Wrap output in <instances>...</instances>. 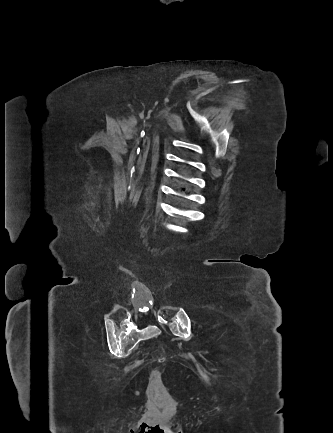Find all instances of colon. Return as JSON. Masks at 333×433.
<instances>
[{"instance_id": "colon-1", "label": "colon", "mask_w": 333, "mask_h": 433, "mask_svg": "<svg viewBox=\"0 0 333 433\" xmlns=\"http://www.w3.org/2000/svg\"><path fill=\"white\" fill-rule=\"evenodd\" d=\"M152 396L160 404H164L170 399L169 390L159 376L152 381Z\"/></svg>"}]
</instances>
